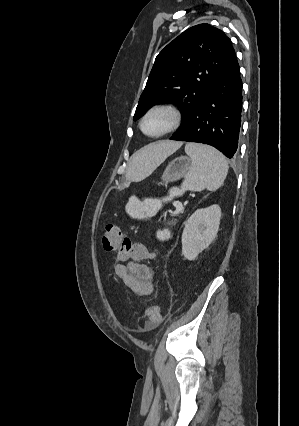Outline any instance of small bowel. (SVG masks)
Masks as SVG:
<instances>
[{"label": "small bowel", "mask_w": 299, "mask_h": 426, "mask_svg": "<svg viewBox=\"0 0 299 426\" xmlns=\"http://www.w3.org/2000/svg\"><path fill=\"white\" fill-rule=\"evenodd\" d=\"M115 273L134 293L149 295L152 292L153 271L149 266L135 261L126 265L117 263Z\"/></svg>", "instance_id": "obj_1"}]
</instances>
